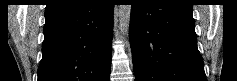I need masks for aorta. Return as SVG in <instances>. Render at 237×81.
Masks as SVG:
<instances>
[{
  "mask_svg": "<svg viewBox=\"0 0 237 81\" xmlns=\"http://www.w3.org/2000/svg\"><path fill=\"white\" fill-rule=\"evenodd\" d=\"M119 29L123 39L129 35L131 5H119L117 8Z\"/></svg>",
  "mask_w": 237,
  "mask_h": 81,
  "instance_id": "1",
  "label": "aorta"
}]
</instances>
